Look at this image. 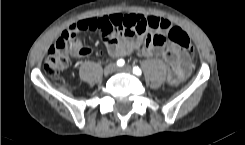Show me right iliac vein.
Listing matches in <instances>:
<instances>
[{"instance_id":"1","label":"right iliac vein","mask_w":245,"mask_h":145,"mask_svg":"<svg viewBox=\"0 0 245 145\" xmlns=\"http://www.w3.org/2000/svg\"><path fill=\"white\" fill-rule=\"evenodd\" d=\"M116 65L114 63H109L108 65L105 66L104 68V73L105 74H111L115 71Z\"/></svg>"}]
</instances>
